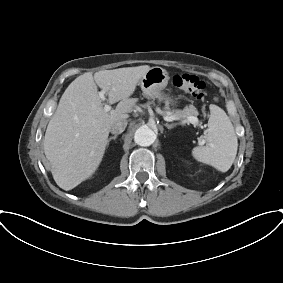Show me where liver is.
Instances as JSON below:
<instances>
[{"label": "liver", "mask_w": 283, "mask_h": 283, "mask_svg": "<svg viewBox=\"0 0 283 283\" xmlns=\"http://www.w3.org/2000/svg\"><path fill=\"white\" fill-rule=\"evenodd\" d=\"M150 66L118 68L84 73L63 93L51 117L44 153L57 185L68 191L97 170L105 153L111 126L127 119L137 99L130 98ZM97 86L106 90L109 103L120 101L105 111Z\"/></svg>", "instance_id": "6515ba94"}]
</instances>
